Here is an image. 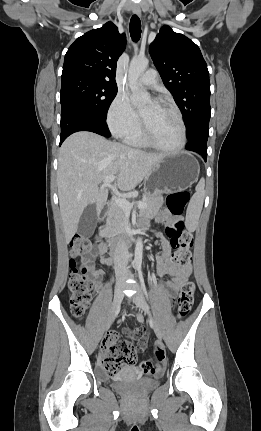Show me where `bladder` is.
Segmentation results:
<instances>
[{"label":"bladder","instance_id":"31cf9c89","mask_svg":"<svg viewBox=\"0 0 261 431\" xmlns=\"http://www.w3.org/2000/svg\"><path fill=\"white\" fill-rule=\"evenodd\" d=\"M159 375L155 377H140L132 368H125L111 379V386L114 390L130 393L144 394L153 390L158 385Z\"/></svg>","mask_w":261,"mask_h":431}]
</instances>
